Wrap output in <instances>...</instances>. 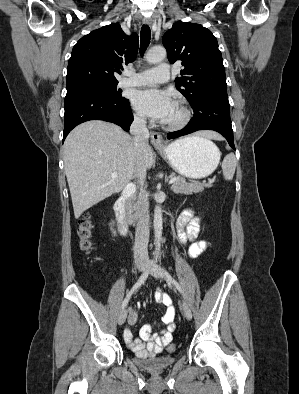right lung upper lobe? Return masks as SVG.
Segmentation results:
<instances>
[{
	"label": "right lung upper lobe",
	"instance_id": "right-lung-upper-lobe-1",
	"mask_svg": "<svg viewBox=\"0 0 299 394\" xmlns=\"http://www.w3.org/2000/svg\"><path fill=\"white\" fill-rule=\"evenodd\" d=\"M138 45L137 34L126 35L116 23L85 35L73 47L67 68V88L117 82L114 72L134 61Z\"/></svg>",
	"mask_w": 299,
	"mask_h": 394
}]
</instances>
